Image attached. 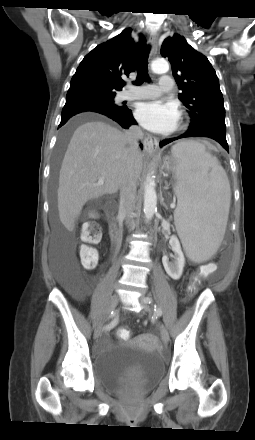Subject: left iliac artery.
Listing matches in <instances>:
<instances>
[{
    "mask_svg": "<svg viewBox=\"0 0 255 440\" xmlns=\"http://www.w3.org/2000/svg\"><path fill=\"white\" fill-rule=\"evenodd\" d=\"M144 301H145L146 303L150 304V303H152L153 300H152L151 297H145ZM155 312H156V314H157L158 316H161V315H162V310H161L159 307H156V306H155Z\"/></svg>",
    "mask_w": 255,
    "mask_h": 440,
    "instance_id": "44dca946",
    "label": "left iliac artery"
}]
</instances>
